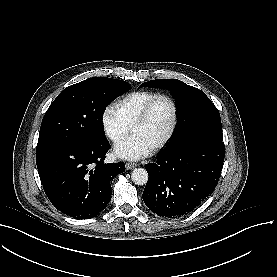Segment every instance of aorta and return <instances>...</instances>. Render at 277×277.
<instances>
[{"instance_id": "aorta-1", "label": "aorta", "mask_w": 277, "mask_h": 277, "mask_svg": "<svg viewBox=\"0 0 277 277\" xmlns=\"http://www.w3.org/2000/svg\"><path fill=\"white\" fill-rule=\"evenodd\" d=\"M131 179L136 185H144L148 181V173L144 168H135L131 173Z\"/></svg>"}]
</instances>
